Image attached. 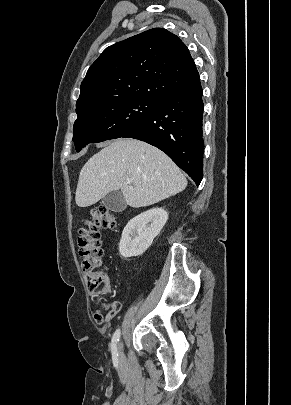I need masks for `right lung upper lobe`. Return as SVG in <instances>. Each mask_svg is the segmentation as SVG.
I'll list each match as a JSON object with an SVG mask.
<instances>
[{
    "label": "right lung upper lobe",
    "mask_w": 291,
    "mask_h": 405,
    "mask_svg": "<svg viewBox=\"0 0 291 405\" xmlns=\"http://www.w3.org/2000/svg\"><path fill=\"white\" fill-rule=\"evenodd\" d=\"M198 78L180 38L163 28L150 29L103 51L81 83L76 111L129 97L157 100Z\"/></svg>",
    "instance_id": "right-lung-upper-lobe-1"
}]
</instances>
